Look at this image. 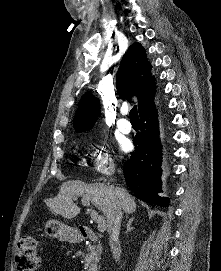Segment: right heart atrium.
<instances>
[{"mask_svg": "<svg viewBox=\"0 0 221 271\" xmlns=\"http://www.w3.org/2000/svg\"><path fill=\"white\" fill-rule=\"evenodd\" d=\"M99 149L104 151L106 148L101 146ZM102 154L106 156L108 153L104 151ZM92 167H106V157H92Z\"/></svg>", "mask_w": 221, "mask_h": 271, "instance_id": "1", "label": "right heart atrium"}]
</instances>
